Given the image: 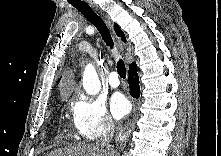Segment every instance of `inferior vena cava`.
Listing matches in <instances>:
<instances>
[{"label": "inferior vena cava", "instance_id": "1", "mask_svg": "<svg viewBox=\"0 0 221 156\" xmlns=\"http://www.w3.org/2000/svg\"><path fill=\"white\" fill-rule=\"evenodd\" d=\"M113 133H114V123L110 119L105 124V127L102 131V135H101L100 139L96 142V145L101 148L105 147L106 149L110 150V148H111L110 140L113 137Z\"/></svg>", "mask_w": 221, "mask_h": 156}]
</instances>
